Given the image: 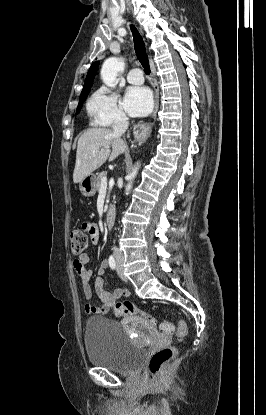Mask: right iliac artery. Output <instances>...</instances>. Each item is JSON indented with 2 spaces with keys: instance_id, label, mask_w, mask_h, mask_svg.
I'll return each mask as SVG.
<instances>
[{
  "instance_id": "right-iliac-artery-1",
  "label": "right iliac artery",
  "mask_w": 266,
  "mask_h": 415,
  "mask_svg": "<svg viewBox=\"0 0 266 415\" xmlns=\"http://www.w3.org/2000/svg\"><path fill=\"white\" fill-rule=\"evenodd\" d=\"M109 266L113 270L116 268V261L112 255L109 257Z\"/></svg>"
}]
</instances>
